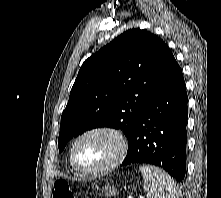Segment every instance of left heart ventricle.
Instances as JSON below:
<instances>
[{
	"label": "left heart ventricle",
	"instance_id": "left-heart-ventricle-1",
	"mask_svg": "<svg viewBox=\"0 0 221 198\" xmlns=\"http://www.w3.org/2000/svg\"><path fill=\"white\" fill-rule=\"evenodd\" d=\"M116 141L106 134H94L79 141L75 149L76 163L86 169L106 164L115 154Z\"/></svg>",
	"mask_w": 221,
	"mask_h": 198
}]
</instances>
